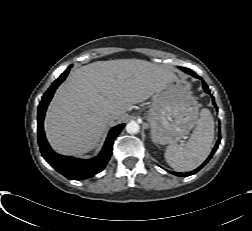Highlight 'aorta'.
Segmentation results:
<instances>
[{
  "mask_svg": "<svg viewBox=\"0 0 252 231\" xmlns=\"http://www.w3.org/2000/svg\"><path fill=\"white\" fill-rule=\"evenodd\" d=\"M140 126L135 121H132L126 125V131L130 134H136L139 132Z\"/></svg>",
  "mask_w": 252,
  "mask_h": 231,
  "instance_id": "762f6f07",
  "label": "aorta"
}]
</instances>
